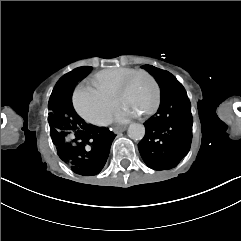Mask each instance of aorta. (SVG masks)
<instances>
[{
    "mask_svg": "<svg viewBox=\"0 0 241 241\" xmlns=\"http://www.w3.org/2000/svg\"><path fill=\"white\" fill-rule=\"evenodd\" d=\"M128 136L133 140H142L145 136V127L140 123H132L128 128Z\"/></svg>",
    "mask_w": 241,
    "mask_h": 241,
    "instance_id": "obj_1",
    "label": "aorta"
}]
</instances>
